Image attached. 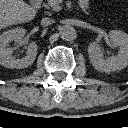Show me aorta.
<instances>
[{"instance_id":"obj_1","label":"aorta","mask_w":128,"mask_h":128,"mask_svg":"<svg viewBox=\"0 0 128 128\" xmlns=\"http://www.w3.org/2000/svg\"><path fill=\"white\" fill-rule=\"evenodd\" d=\"M59 34L63 40L69 41L75 37L76 31L73 27L64 25L59 28Z\"/></svg>"}]
</instances>
